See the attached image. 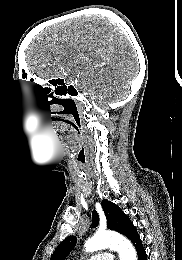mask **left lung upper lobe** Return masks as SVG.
<instances>
[{
	"mask_svg": "<svg viewBox=\"0 0 182 260\" xmlns=\"http://www.w3.org/2000/svg\"><path fill=\"white\" fill-rule=\"evenodd\" d=\"M101 205L107 219L108 229L127 236L132 228L135 227L129 217L124 214L116 204L105 199L102 201ZM92 220V226L96 227L99 223V217L95 210L92 212ZM76 243L77 238L75 236L67 237L57 246L50 260H65Z\"/></svg>",
	"mask_w": 182,
	"mask_h": 260,
	"instance_id": "left-lung-upper-lobe-1",
	"label": "left lung upper lobe"
}]
</instances>
